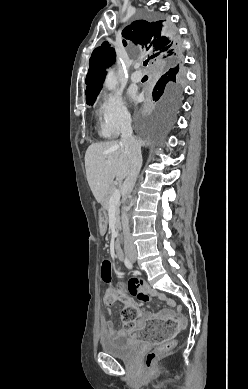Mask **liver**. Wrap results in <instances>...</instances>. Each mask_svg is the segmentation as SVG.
Listing matches in <instances>:
<instances>
[{
    "instance_id": "6515ba94",
    "label": "liver",
    "mask_w": 248,
    "mask_h": 389,
    "mask_svg": "<svg viewBox=\"0 0 248 389\" xmlns=\"http://www.w3.org/2000/svg\"><path fill=\"white\" fill-rule=\"evenodd\" d=\"M147 145L145 141H139ZM85 169L90 189L98 202H102L114 179L122 181L130 170L129 157L118 141L91 144L85 153Z\"/></svg>"
}]
</instances>
